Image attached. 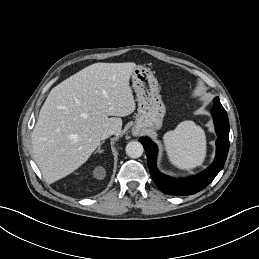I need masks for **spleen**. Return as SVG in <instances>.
Returning a JSON list of instances; mask_svg holds the SVG:
<instances>
[{
	"mask_svg": "<svg viewBox=\"0 0 259 259\" xmlns=\"http://www.w3.org/2000/svg\"><path fill=\"white\" fill-rule=\"evenodd\" d=\"M163 140L168 158L176 167L189 170L204 162L206 136L193 121L181 122L173 131L167 132Z\"/></svg>",
	"mask_w": 259,
	"mask_h": 259,
	"instance_id": "1",
	"label": "spleen"
}]
</instances>
